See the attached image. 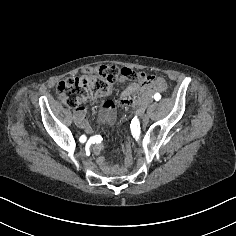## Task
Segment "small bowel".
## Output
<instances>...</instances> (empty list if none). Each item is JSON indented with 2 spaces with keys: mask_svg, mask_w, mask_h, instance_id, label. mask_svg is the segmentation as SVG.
I'll list each match as a JSON object with an SVG mask.
<instances>
[{
  "mask_svg": "<svg viewBox=\"0 0 236 236\" xmlns=\"http://www.w3.org/2000/svg\"><path fill=\"white\" fill-rule=\"evenodd\" d=\"M141 76H146L139 72ZM126 77L121 76L120 81H125ZM164 84L157 77H152L149 80H140L127 85L121 92L120 98L117 101L106 100L101 108L99 121L101 124H112L115 120V110L118 106H137L139 112H143L145 107L150 103L152 95L155 91L163 90ZM74 120L78 127L84 129L88 133H92V127L86 117V107L80 106L74 112ZM91 149L94 154L99 155L104 146L102 139L98 135H93L90 138ZM97 163L100 168L110 175H119L124 171V165H118L108 162L104 157L99 156Z\"/></svg>",
  "mask_w": 236,
  "mask_h": 236,
  "instance_id": "obj_1",
  "label": "small bowel"
}]
</instances>
